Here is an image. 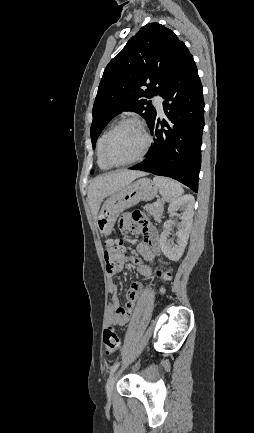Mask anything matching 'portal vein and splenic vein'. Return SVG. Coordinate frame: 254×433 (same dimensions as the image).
Listing matches in <instances>:
<instances>
[{
    "label": "portal vein and splenic vein",
    "instance_id": "obj_1",
    "mask_svg": "<svg viewBox=\"0 0 254 433\" xmlns=\"http://www.w3.org/2000/svg\"><path fill=\"white\" fill-rule=\"evenodd\" d=\"M155 205H156V206H158V205H159V201H158V202H156V203H155Z\"/></svg>",
    "mask_w": 254,
    "mask_h": 433
}]
</instances>
